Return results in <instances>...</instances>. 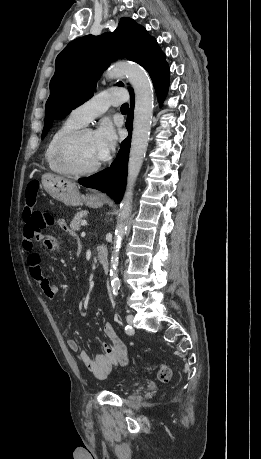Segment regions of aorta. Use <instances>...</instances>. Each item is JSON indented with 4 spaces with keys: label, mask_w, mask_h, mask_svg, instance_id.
Returning <instances> with one entry per match:
<instances>
[{
    "label": "aorta",
    "mask_w": 261,
    "mask_h": 459,
    "mask_svg": "<svg viewBox=\"0 0 261 459\" xmlns=\"http://www.w3.org/2000/svg\"><path fill=\"white\" fill-rule=\"evenodd\" d=\"M108 79L126 76L135 92V109L133 131L128 161V177L126 191L120 204V213L115 229L114 251L111 257V290L117 295L120 287L118 278L119 251L127 231L126 222L132 209V196L135 181L141 170L146 155L151 130L154 108L153 86L147 72L135 63H117L105 72Z\"/></svg>",
    "instance_id": "1"
}]
</instances>
